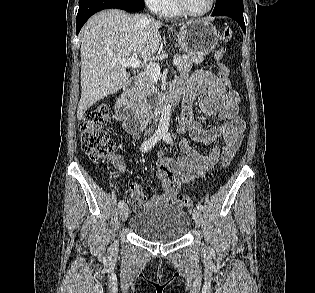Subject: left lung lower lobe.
<instances>
[{
    "label": "left lung lower lobe",
    "instance_id": "left-lung-lower-lobe-1",
    "mask_svg": "<svg viewBox=\"0 0 315 293\" xmlns=\"http://www.w3.org/2000/svg\"><path fill=\"white\" fill-rule=\"evenodd\" d=\"M213 16H228L233 18L242 28L244 32H246V27L243 18V11L239 10H224L218 13H213Z\"/></svg>",
    "mask_w": 315,
    "mask_h": 293
}]
</instances>
